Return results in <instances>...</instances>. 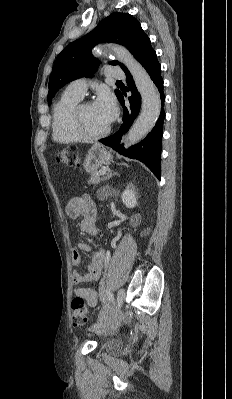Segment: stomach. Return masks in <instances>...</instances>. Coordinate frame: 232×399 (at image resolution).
Here are the masks:
<instances>
[{"label":"stomach","instance_id":"obj_1","mask_svg":"<svg viewBox=\"0 0 232 399\" xmlns=\"http://www.w3.org/2000/svg\"><path fill=\"white\" fill-rule=\"evenodd\" d=\"M110 162H112L110 152H108L102 144L96 142L91 150H89L88 154H86L83 168L88 174H92V172H96L100 166H108Z\"/></svg>","mask_w":232,"mask_h":399}]
</instances>
